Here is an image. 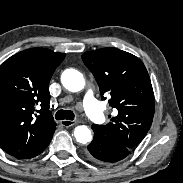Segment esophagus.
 I'll return each instance as SVG.
<instances>
[{
	"mask_svg": "<svg viewBox=\"0 0 183 183\" xmlns=\"http://www.w3.org/2000/svg\"><path fill=\"white\" fill-rule=\"evenodd\" d=\"M76 123H77V121H75V120H73V121H71V120H62L60 122V124L64 127H71V126H74Z\"/></svg>",
	"mask_w": 183,
	"mask_h": 183,
	"instance_id": "obj_1",
	"label": "esophagus"
}]
</instances>
